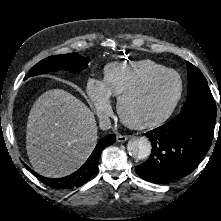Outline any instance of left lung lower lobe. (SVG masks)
I'll return each mask as SVG.
<instances>
[{"instance_id":"1","label":"left lung lower lobe","mask_w":221,"mask_h":221,"mask_svg":"<svg viewBox=\"0 0 221 221\" xmlns=\"http://www.w3.org/2000/svg\"><path fill=\"white\" fill-rule=\"evenodd\" d=\"M215 123V102L196 101L182 109L172 121L146 133L152 151L136 173L152 183L190 174L211 146Z\"/></svg>"}]
</instances>
